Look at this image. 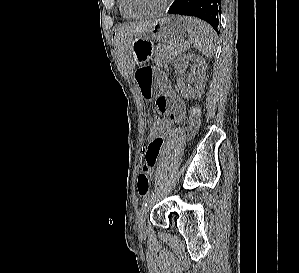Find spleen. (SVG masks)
I'll list each match as a JSON object with an SVG mask.
<instances>
[{"label":"spleen","instance_id":"spleen-1","mask_svg":"<svg viewBox=\"0 0 299 273\" xmlns=\"http://www.w3.org/2000/svg\"><path fill=\"white\" fill-rule=\"evenodd\" d=\"M190 43L206 57H212L215 51L216 33L206 22L185 17Z\"/></svg>","mask_w":299,"mask_h":273}]
</instances>
